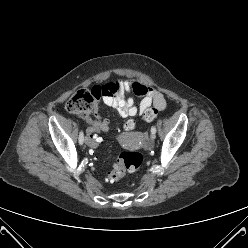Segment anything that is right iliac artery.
<instances>
[{
  "mask_svg": "<svg viewBox=\"0 0 248 248\" xmlns=\"http://www.w3.org/2000/svg\"><path fill=\"white\" fill-rule=\"evenodd\" d=\"M83 142H84V133H83V131H81L79 134V143L83 144Z\"/></svg>",
  "mask_w": 248,
  "mask_h": 248,
  "instance_id": "82829eb1",
  "label": "right iliac artery"
}]
</instances>
